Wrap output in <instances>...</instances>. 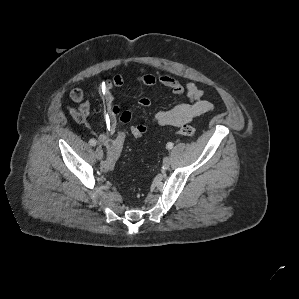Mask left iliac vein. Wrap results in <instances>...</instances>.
<instances>
[{"mask_svg": "<svg viewBox=\"0 0 299 299\" xmlns=\"http://www.w3.org/2000/svg\"><path fill=\"white\" fill-rule=\"evenodd\" d=\"M170 166V158L169 157H164L163 159V167L168 168Z\"/></svg>", "mask_w": 299, "mask_h": 299, "instance_id": "left-iliac-vein-1", "label": "left iliac vein"}]
</instances>
